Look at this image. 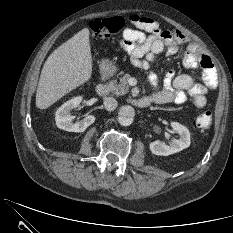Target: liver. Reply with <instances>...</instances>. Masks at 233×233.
<instances>
[{"label": "liver", "mask_w": 233, "mask_h": 233, "mask_svg": "<svg viewBox=\"0 0 233 233\" xmlns=\"http://www.w3.org/2000/svg\"><path fill=\"white\" fill-rule=\"evenodd\" d=\"M89 30L82 29L46 60L36 92V106L46 109L91 78Z\"/></svg>", "instance_id": "obj_1"}]
</instances>
